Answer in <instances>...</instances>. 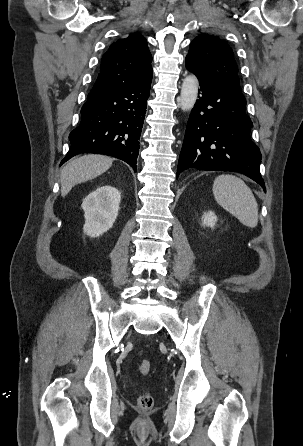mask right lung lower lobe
I'll return each instance as SVG.
<instances>
[{
  "label": "right lung lower lobe",
  "mask_w": 303,
  "mask_h": 446,
  "mask_svg": "<svg viewBox=\"0 0 303 446\" xmlns=\"http://www.w3.org/2000/svg\"><path fill=\"white\" fill-rule=\"evenodd\" d=\"M152 76L88 97L81 121L69 135L71 147L61 161L80 153L113 156L136 171L139 139L146 113Z\"/></svg>",
  "instance_id": "obj_1"
}]
</instances>
